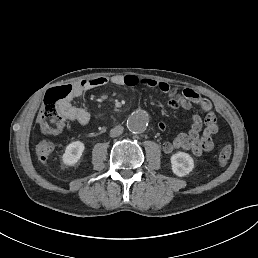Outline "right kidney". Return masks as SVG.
Returning <instances> with one entry per match:
<instances>
[{
	"label": "right kidney",
	"mask_w": 258,
	"mask_h": 258,
	"mask_svg": "<svg viewBox=\"0 0 258 258\" xmlns=\"http://www.w3.org/2000/svg\"><path fill=\"white\" fill-rule=\"evenodd\" d=\"M84 146L81 142L71 143L65 152L64 163L73 164L75 163L82 155Z\"/></svg>",
	"instance_id": "ca27d5eb"
}]
</instances>
